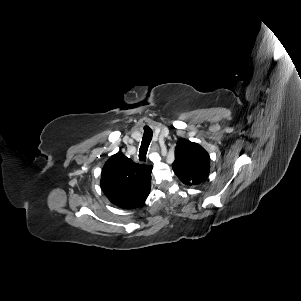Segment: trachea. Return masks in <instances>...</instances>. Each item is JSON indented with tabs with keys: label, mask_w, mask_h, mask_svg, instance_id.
Returning a JSON list of instances; mask_svg holds the SVG:
<instances>
[{
	"label": "trachea",
	"mask_w": 301,
	"mask_h": 301,
	"mask_svg": "<svg viewBox=\"0 0 301 301\" xmlns=\"http://www.w3.org/2000/svg\"><path fill=\"white\" fill-rule=\"evenodd\" d=\"M153 136L152 130L148 127H144V135H143V140L139 149V160L140 161H146V154L148 151V146L151 142Z\"/></svg>",
	"instance_id": "obj_1"
}]
</instances>
